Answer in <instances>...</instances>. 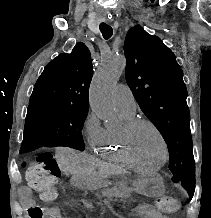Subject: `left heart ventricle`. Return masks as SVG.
<instances>
[{
	"label": "left heart ventricle",
	"mask_w": 211,
	"mask_h": 218,
	"mask_svg": "<svg viewBox=\"0 0 211 218\" xmlns=\"http://www.w3.org/2000/svg\"><path fill=\"white\" fill-rule=\"evenodd\" d=\"M132 149L134 155L145 164H159L163 158V150L157 134L146 125L134 131Z\"/></svg>",
	"instance_id": "left-heart-ventricle-1"
}]
</instances>
